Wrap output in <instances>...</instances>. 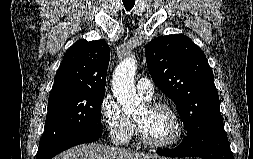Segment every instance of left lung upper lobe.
Listing matches in <instances>:
<instances>
[{
  "instance_id": "left-lung-upper-lobe-1",
  "label": "left lung upper lobe",
  "mask_w": 253,
  "mask_h": 159,
  "mask_svg": "<svg viewBox=\"0 0 253 159\" xmlns=\"http://www.w3.org/2000/svg\"><path fill=\"white\" fill-rule=\"evenodd\" d=\"M156 86L176 104L187 137L222 124L214 76L204 52L185 35L160 36L145 48Z\"/></svg>"
}]
</instances>
